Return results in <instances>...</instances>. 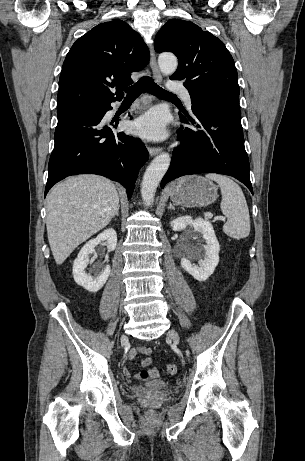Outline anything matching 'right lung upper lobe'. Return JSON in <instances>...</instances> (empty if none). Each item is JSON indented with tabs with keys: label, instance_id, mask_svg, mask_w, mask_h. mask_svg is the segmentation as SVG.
<instances>
[{
	"label": "right lung upper lobe",
	"instance_id": "1",
	"mask_svg": "<svg viewBox=\"0 0 305 461\" xmlns=\"http://www.w3.org/2000/svg\"><path fill=\"white\" fill-rule=\"evenodd\" d=\"M149 58L143 39L126 22L97 25L73 44L65 58L58 109L121 99L122 90L133 83L130 74L143 69ZM115 86L116 97L111 92Z\"/></svg>",
	"mask_w": 305,
	"mask_h": 461
}]
</instances>
